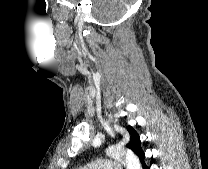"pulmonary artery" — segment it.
<instances>
[{"instance_id": "e3ab8cb5", "label": "pulmonary artery", "mask_w": 208, "mask_h": 169, "mask_svg": "<svg viewBox=\"0 0 208 169\" xmlns=\"http://www.w3.org/2000/svg\"><path fill=\"white\" fill-rule=\"evenodd\" d=\"M78 169H123V165L117 159L100 158L93 163L80 166Z\"/></svg>"}]
</instances>
